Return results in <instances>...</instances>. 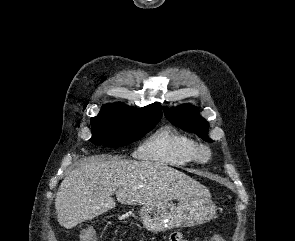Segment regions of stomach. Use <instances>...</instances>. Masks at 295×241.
<instances>
[{
    "label": "stomach",
    "mask_w": 295,
    "mask_h": 241,
    "mask_svg": "<svg viewBox=\"0 0 295 241\" xmlns=\"http://www.w3.org/2000/svg\"><path fill=\"white\" fill-rule=\"evenodd\" d=\"M215 215L216 206L210 194L189 197L178 204L166 202L144 205L139 211L143 226L154 233L197 226L212 220Z\"/></svg>",
    "instance_id": "0dacf381"
}]
</instances>
